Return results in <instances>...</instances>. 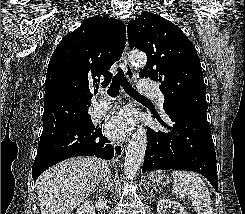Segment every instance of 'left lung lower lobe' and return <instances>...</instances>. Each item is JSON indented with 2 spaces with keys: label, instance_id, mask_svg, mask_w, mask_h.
Segmentation results:
<instances>
[{
  "label": "left lung lower lobe",
  "instance_id": "obj_1",
  "mask_svg": "<svg viewBox=\"0 0 245 214\" xmlns=\"http://www.w3.org/2000/svg\"><path fill=\"white\" fill-rule=\"evenodd\" d=\"M206 111L191 107L167 114L174 123L168 133L149 128L142 172L195 171L207 178L217 191V161Z\"/></svg>",
  "mask_w": 245,
  "mask_h": 214
}]
</instances>
